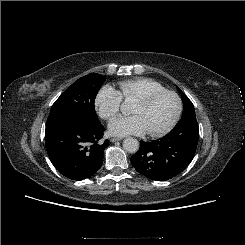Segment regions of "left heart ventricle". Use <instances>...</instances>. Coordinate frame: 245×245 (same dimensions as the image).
Returning a JSON list of instances; mask_svg holds the SVG:
<instances>
[{"mask_svg":"<svg viewBox=\"0 0 245 245\" xmlns=\"http://www.w3.org/2000/svg\"><path fill=\"white\" fill-rule=\"evenodd\" d=\"M176 109V98L172 95H164L147 105L134 102L130 112L140 117L147 132H155L169 124Z\"/></svg>","mask_w":245,"mask_h":245,"instance_id":"b2bd125f","label":"left heart ventricle"}]
</instances>
